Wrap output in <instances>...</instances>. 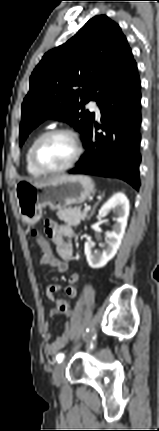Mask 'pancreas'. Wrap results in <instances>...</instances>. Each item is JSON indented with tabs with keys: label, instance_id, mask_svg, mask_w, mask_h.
I'll list each match as a JSON object with an SVG mask.
<instances>
[{
	"label": "pancreas",
	"instance_id": "obj_1",
	"mask_svg": "<svg viewBox=\"0 0 159 431\" xmlns=\"http://www.w3.org/2000/svg\"><path fill=\"white\" fill-rule=\"evenodd\" d=\"M88 211H81L80 207H68L57 212V216L70 226H78L81 221L85 220Z\"/></svg>",
	"mask_w": 159,
	"mask_h": 431
}]
</instances>
